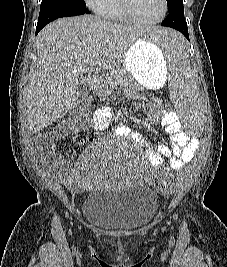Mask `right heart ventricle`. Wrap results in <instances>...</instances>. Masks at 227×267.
<instances>
[{
    "label": "right heart ventricle",
    "mask_w": 227,
    "mask_h": 267,
    "mask_svg": "<svg viewBox=\"0 0 227 267\" xmlns=\"http://www.w3.org/2000/svg\"><path fill=\"white\" fill-rule=\"evenodd\" d=\"M103 15L106 18L111 19V20H115V21H123V22L129 21V19L122 13L118 0H112L110 6L103 13Z\"/></svg>",
    "instance_id": "obj_1"
}]
</instances>
